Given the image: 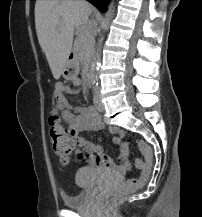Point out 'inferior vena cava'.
I'll list each match as a JSON object with an SVG mask.
<instances>
[{
    "label": "inferior vena cava",
    "mask_w": 202,
    "mask_h": 217,
    "mask_svg": "<svg viewBox=\"0 0 202 217\" xmlns=\"http://www.w3.org/2000/svg\"><path fill=\"white\" fill-rule=\"evenodd\" d=\"M88 28L95 33L97 31V22L95 20L88 21Z\"/></svg>",
    "instance_id": "obj_1"
}]
</instances>
